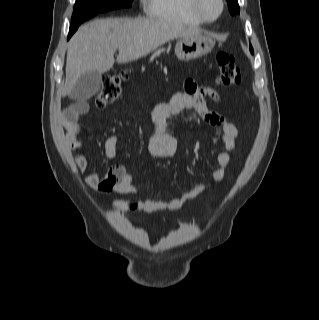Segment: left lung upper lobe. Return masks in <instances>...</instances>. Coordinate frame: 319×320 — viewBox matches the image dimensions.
Wrapping results in <instances>:
<instances>
[{
    "label": "left lung upper lobe",
    "mask_w": 319,
    "mask_h": 320,
    "mask_svg": "<svg viewBox=\"0 0 319 320\" xmlns=\"http://www.w3.org/2000/svg\"><path fill=\"white\" fill-rule=\"evenodd\" d=\"M228 9L232 15H236L240 13V8L237 0H227ZM250 51L253 53V48L250 46Z\"/></svg>",
    "instance_id": "obj_1"
}]
</instances>
